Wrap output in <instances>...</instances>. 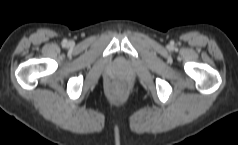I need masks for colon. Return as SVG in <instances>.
I'll use <instances>...</instances> for the list:
<instances>
[{
    "label": "colon",
    "instance_id": "1",
    "mask_svg": "<svg viewBox=\"0 0 238 145\" xmlns=\"http://www.w3.org/2000/svg\"><path fill=\"white\" fill-rule=\"evenodd\" d=\"M114 88L117 92H121L124 90V85L120 82H117L115 85H114Z\"/></svg>",
    "mask_w": 238,
    "mask_h": 145
}]
</instances>
